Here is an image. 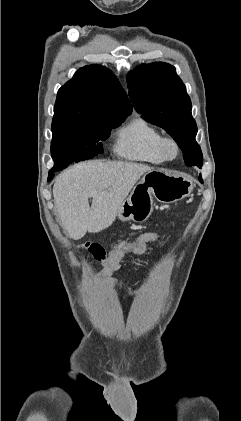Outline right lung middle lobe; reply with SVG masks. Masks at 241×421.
I'll return each mask as SVG.
<instances>
[{
    "mask_svg": "<svg viewBox=\"0 0 241 421\" xmlns=\"http://www.w3.org/2000/svg\"><path fill=\"white\" fill-rule=\"evenodd\" d=\"M124 120V117H100L89 121L53 118V170L62 169L73 162L91 159L102 153L103 145L100 141H105L111 130Z\"/></svg>",
    "mask_w": 241,
    "mask_h": 421,
    "instance_id": "right-lung-middle-lobe-1",
    "label": "right lung middle lobe"
}]
</instances>
